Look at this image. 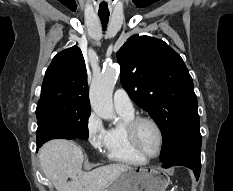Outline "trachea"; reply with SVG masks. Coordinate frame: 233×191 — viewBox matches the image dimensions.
Wrapping results in <instances>:
<instances>
[{
  "label": "trachea",
  "mask_w": 233,
  "mask_h": 191,
  "mask_svg": "<svg viewBox=\"0 0 233 191\" xmlns=\"http://www.w3.org/2000/svg\"><path fill=\"white\" fill-rule=\"evenodd\" d=\"M98 15H99V18H100L101 23L103 25V29L105 30L106 25H107L108 20H109V14H98Z\"/></svg>",
  "instance_id": "trachea-1"
}]
</instances>
